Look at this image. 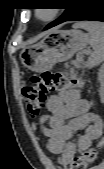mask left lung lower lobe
Wrapping results in <instances>:
<instances>
[{
	"label": "left lung lower lobe",
	"mask_w": 104,
	"mask_h": 169,
	"mask_svg": "<svg viewBox=\"0 0 104 169\" xmlns=\"http://www.w3.org/2000/svg\"><path fill=\"white\" fill-rule=\"evenodd\" d=\"M81 20L104 22V2L101 0H79L75 11L61 23Z\"/></svg>",
	"instance_id": "0a47b994"
}]
</instances>
